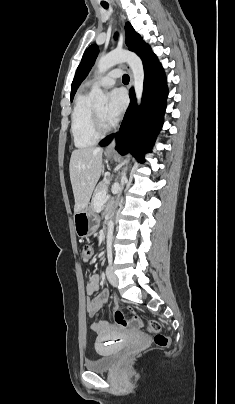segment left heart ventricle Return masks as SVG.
Here are the masks:
<instances>
[{
    "label": "left heart ventricle",
    "instance_id": "obj_1",
    "mask_svg": "<svg viewBox=\"0 0 235 404\" xmlns=\"http://www.w3.org/2000/svg\"><path fill=\"white\" fill-rule=\"evenodd\" d=\"M95 110H96V112L100 115V117H101L106 123H108V122L106 121L105 117H104L105 106L102 105V106L96 107Z\"/></svg>",
    "mask_w": 235,
    "mask_h": 404
}]
</instances>
